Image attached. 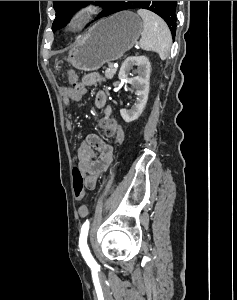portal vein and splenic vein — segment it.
<instances>
[{"label":"portal vein and splenic vein","instance_id":"portal-vein-and-splenic-vein-1","mask_svg":"<svg viewBox=\"0 0 237 300\" xmlns=\"http://www.w3.org/2000/svg\"><path fill=\"white\" fill-rule=\"evenodd\" d=\"M109 64H110V65H109L108 67H109L110 69L113 68V65H111L112 63L110 62Z\"/></svg>","mask_w":237,"mask_h":300}]
</instances>
